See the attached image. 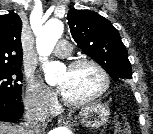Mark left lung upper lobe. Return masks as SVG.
Returning <instances> with one entry per match:
<instances>
[{"instance_id": "obj_1", "label": "left lung upper lobe", "mask_w": 153, "mask_h": 134, "mask_svg": "<svg viewBox=\"0 0 153 134\" xmlns=\"http://www.w3.org/2000/svg\"><path fill=\"white\" fill-rule=\"evenodd\" d=\"M71 35L84 53L95 59L114 79H132L128 53L117 29L91 10L71 9L67 15Z\"/></svg>"}]
</instances>
